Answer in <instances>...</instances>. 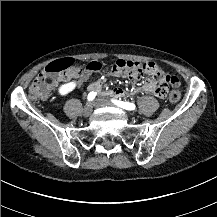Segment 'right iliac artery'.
I'll return each mask as SVG.
<instances>
[{"label": "right iliac artery", "instance_id": "1", "mask_svg": "<svg viewBox=\"0 0 217 217\" xmlns=\"http://www.w3.org/2000/svg\"><path fill=\"white\" fill-rule=\"evenodd\" d=\"M95 96H96V92L93 91L90 92L87 97L88 101H92L95 98Z\"/></svg>", "mask_w": 217, "mask_h": 217}]
</instances>
